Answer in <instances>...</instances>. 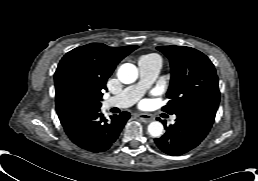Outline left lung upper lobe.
<instances>
[{
  "label": "left lung upper lobe",
  "instance_id": "5c2ea615",
  "mask_svg": "<svg viewBox=\"0 0 258 181\" xmlns=\"http://www.w3.org/2000/svg\"><path fill=\"white\" fill-rule=\"evenodd\" d=\"M170 60V101L162 108L169 114L191 111L216 113L220 100L214 65L202 52L186 46L157 47Z\"/></svg>",
  "mask_w": 258,
  "mask_h": 181
}]
</instances>
